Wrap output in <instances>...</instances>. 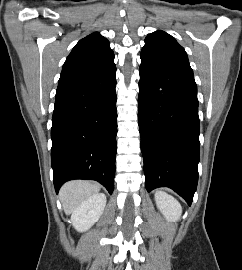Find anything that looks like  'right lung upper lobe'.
<instances>
[{
	"label": "right lung upper lobe",
	"instance_id": "1",
	"mask_svg": "<svg viewBox=\"0 0 242 270\" xmlns=\"http://www.w3.org/2000/svg\"><path fill=\"white\" fill-rule=\"evenodd\" d=\"M113 61L109 41L98 32L92 33L80 40L67 57L57 89L81 81Z\"/></svg>",
	"mask_w": 242,
	"mask_h": 270
}]
</instances>
